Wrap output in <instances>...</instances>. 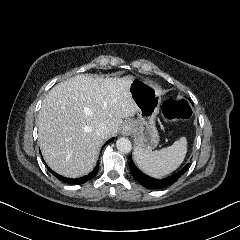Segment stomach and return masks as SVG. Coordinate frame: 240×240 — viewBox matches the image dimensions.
<instances>
[{
	"instance_id": "0dacf381",
	"label": "stomach",
	"mask_w": 240,
	"mask_h": 240,
	"mask_svg": "<svg viewBox=\"0 0 240 240\" xmlns=\"http://www.w3.org/2000/svg\"><path fill=\"white\" fill-rule=\"evenodd\" d=\"M129 93L136 117L125 121L130 131L123 130V133L133 136L135 147L149 152L159 143L155 118L162 102V89L150 79L134 77L129 85Z\"/></svg>"
}]
</instances>
